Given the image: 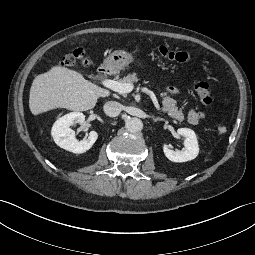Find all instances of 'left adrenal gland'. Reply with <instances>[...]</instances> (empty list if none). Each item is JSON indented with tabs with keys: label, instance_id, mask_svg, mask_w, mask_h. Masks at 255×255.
<instances>
[{
	"label": "left adrenal gland",
	"instance_id": "1",
	"mask_svg": "<svg viewBox=\"0 0 255 255\" xmlns=\"http://www.w3.org/2000/svg\"><path fill=\"white\" fill-rule=\"evenodd\" d=\"M152 119H153L154 122H157V121H165V119H163V118L153 117V116H152Z\"/></svg>",
	"mask_w": 255,
	"mask_h": 255
}]
</instances>
